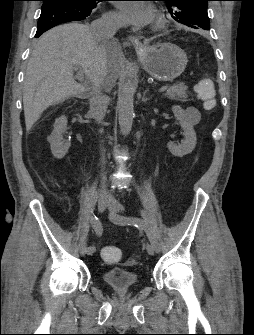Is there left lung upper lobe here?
<instances>
[{
	"mask_svg": "<svg viewBox=\"0 0 254 335\" xmlns=\"http://www.w3.org/2000/svg\"><path fill=\"white\" fill-rule=\"evenodd\" d=\"M167 3L168 11L178 22L195 29L209 30L207 14L210 0H162Z\"/></svg>",
	"mask_w": 254,
	"mask_h": 335,
	"instance_id": "left-lung-upper-lobe-1",
	"label": "left lung upper lobe"
}]
</instances>
